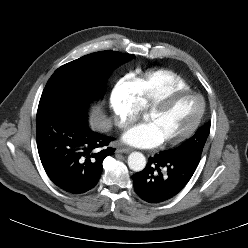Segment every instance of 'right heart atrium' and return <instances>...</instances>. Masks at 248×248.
Segmentation results:
<instances>
[{"label":"right heart atrium","instance_id":"1","mask_svg":"<svg viewBox=\"0 0 248 248\" xmlns=\"http://www.w3.org/2000/svg\"><path fill=\"white\" fill-rule=\"evenodd\" d=\"M109 106L113 113L114 123L121 129L132 125L142 110L125 81L118 82L111 90Z\"/></svg>","mask_w":248,"mask_h":248}]
</instances>
